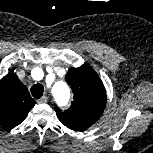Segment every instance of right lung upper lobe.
Listing matches in <instances>:
<instances>
[{"label":"right lung upper lobe","mask_w":153,"mask_h":153,"mask_svg":"<svg viewBox=\"0 0 153 153\" xmlns=\"http://www.w3.org/2000/svg\"><path fill=\"white\" fill-rule=\"evenodd\" d=\"M35 105L28 89L10 71L0 80V124L11 129L22 123Z\"/></svg>","instance_id":"1"}]
</instances>
